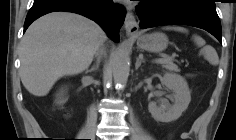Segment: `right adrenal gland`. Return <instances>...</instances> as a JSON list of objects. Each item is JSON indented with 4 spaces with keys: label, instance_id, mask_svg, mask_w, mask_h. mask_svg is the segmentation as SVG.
Masks as SVG:
<instances>
[{
    "label": "right adrenal gland",
    "instance_id": "right-adrenal-gland-1",
    "mask_svg": "<svg viewBox=\"0 0 236 140\" xmlns=\"http://www.w3.org/2000/svg\"><path fill=\"white\" fill-rule=\"evenodd\" d=\"M100 64V57L97 58L96 64L92 66V68L89 70L90 72L98 70Z\"/></svg>",
    "mask_w": 236,
    "mask_h": 140
}]
</instances>
